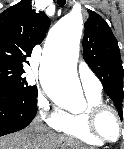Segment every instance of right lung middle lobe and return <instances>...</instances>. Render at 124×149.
Here are the masks:
<instances>
[{
	"mask_svg": "<svg viewBox=\"0 0 124 149\" xmlns=\"http://www.w3.org/2000/svg\"><path fill=\"white\" fill-rule=\"evenodd\" d=\"M23 73L24 71L20 69L0 66V84L35 100L37 97V87L28 86L26 78L22 77Z\"/></svg>",
	"mask_w": 124,
	"mask_h": 149,
	"instance_id": "right-lung-middle-lobe-1",
	"label": "right lung middle lobe"
}]
</instances>
